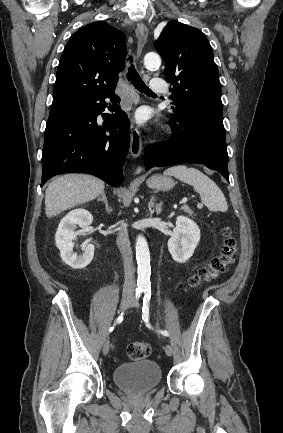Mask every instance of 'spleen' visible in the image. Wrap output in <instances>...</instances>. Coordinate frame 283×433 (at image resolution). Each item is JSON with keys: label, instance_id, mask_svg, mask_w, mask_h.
Instances as JSON below:
<instances>
[{"label": "spleen", "instance_id": "3e777b00", "mask_svg": "<svg viewBox=\"0 0 283 433\" xmlns=\"http://www.w3.org/2000/svg\"><path fill=\"white\" fill-rule=\"evenodd\" d=\"M163 174H171V176H176L182 182L192 184L196 192H200L201 200L209 210H222V212L228 210L227 200L222 190L214 180H211L198 168H192V166L188 168L186 164H177V166L166 168Z\"/></svg>", "mask_w": 283, "mask_h": 433}]
</instances>
